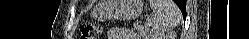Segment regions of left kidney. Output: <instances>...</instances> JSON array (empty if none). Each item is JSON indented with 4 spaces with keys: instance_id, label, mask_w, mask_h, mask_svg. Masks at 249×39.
I'll return each mask as SVG.
<instances>
[{
    "instance_id": "left-kidney-1",
    "label": "left kidney",
    "mask_w": 249,
    "mask_h": 39,
    "mask_svg": "<svg viewBox=\"0 0 249 39\" xmlns=\"http://www.w3.org/2000/svg\"><path fill=\"white\" fill-rule=\"evenodd\" d=\"M152 37V39H156L157 37H155V35H151ZM166 38H169V36H165V37H163V38H161V39H166Z\"/></svg>"
}]
</instances>
